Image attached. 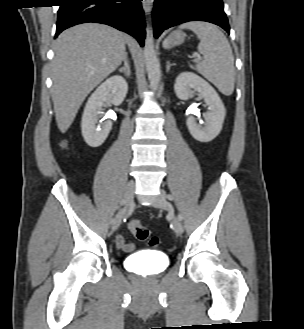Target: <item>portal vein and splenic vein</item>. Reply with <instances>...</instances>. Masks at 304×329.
<instances>
[{
	"label": "portal vein and splenic vein",
	"instance_id": "obj_1",
	"mask_svg": "<svg viewBox=\"0 0 304 329\" xmlns=\"http://www.w3.org/2000/svg\"><path fill=\"white\" fill-rule=\"evenodd\" d=\"M200 60H202V57L197 56V58H196L194 61H195V62H198V61H200Z\"/></svg>",
	"mask_w": 304,
	"mask_h": 329
}]
</instances>
